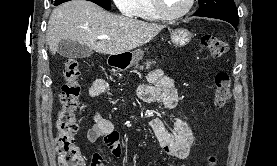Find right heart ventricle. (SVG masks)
Segmentation results:
<instances>
[{"label":"right heart ventricle","mask_w":277,"mask_h":166,"mask_svg":"<svg viewBox=\"0 0 277 166\" xmlns=\"http://www.w3.org/2000/svg\"><path fill=\"white\" fill-rule=\"evenodd\" d=\"M132 16L147 22H158L161 20V17L154 8L152 0H138Z\"/></svg>","instance_id":"right-heart-ventricle-1"}]
</instances>
